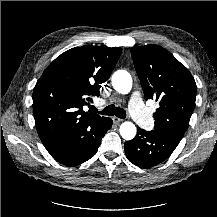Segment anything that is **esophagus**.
Wrapping results in <instances>:
<instances>
[{
    "label": "esophagus",
    "mask_w": 217,
    "mask_h": 217,
    "mask_svg": "<svg viewBox=\"0 0 217 217\" xmlns=\"http://www.w3.org/2000/svg\"><path fill=\"white\" fill-rule=\"evenodd\" d=\"M112 120H113V122L116 123V124L123 121L122 119H120V118H118V117H116V116H114V117L112 118Z\"/></svg>",
    "instance_id": "obj_1"
}]
</instances>
